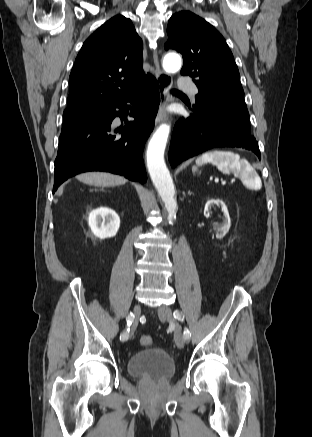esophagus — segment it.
I'll return each mask as SVG.
<instances>
[{
	"instance_id": "34e87169",
	"label": "esophagus",
	"mask_w": 312,
	"mask_h": 437,
	"mask_svg": "<svg viewBox=\"0 0 312 437\" xmlns=\"http://www.w3.org/2000/svg\"><path fill=\"white\" fill-rule=\"evenodd\" d=\"M153 62L156 69V79L159 84L160 104L155 123L159 124L166 120V106L171 100L170 89L173 85V78L170 74L164 72L159 64L157 51L153 52Z\"/></svg>"
}]
</instances>
